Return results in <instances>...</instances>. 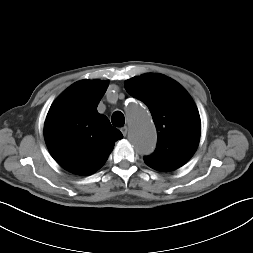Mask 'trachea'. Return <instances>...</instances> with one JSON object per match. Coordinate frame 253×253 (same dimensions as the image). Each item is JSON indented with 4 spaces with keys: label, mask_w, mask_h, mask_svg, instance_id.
I'll list each match as a JSON object with an SVG mask.
<instances>
[{
    "label": "trachea",
    "mask_w": 253,
    "mask_h": 253,
    "mask_svg": "<svg viewBox=\"0 0 253 253\" xmlns=\"http://www.w3.org/2000/svg\"><path fill=\"white\" fill-rule=\"evenodd\" d=\"M112 124L116 127H122L125 123V118L122 112L116 111L111 117Z\"/></svg>",
    "instance_id": "1"
}]
</instances>
